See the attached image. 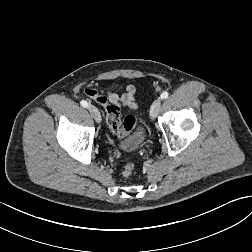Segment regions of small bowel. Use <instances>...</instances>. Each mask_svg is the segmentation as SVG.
Instances as JSON below:
<instances>
[{
  "label": "small bowel",
  "instance_id": "small-bowel-1",
  "mask_svg": "<svg viewBox=\"0 0 252 252\" xmlns=\"http://www.w3.org/2000/svg\"><path fill=\"white\" fill-rule=\"evenodd\" d=\"M136 89L133 85H128L123 93L118 91H111L107 94L105 99L113 105L122 108L134 109L137 107L135 101Z\"/></svg>",
  "mask_w": 252,
  "mask_h": 252
}]
</instances>
